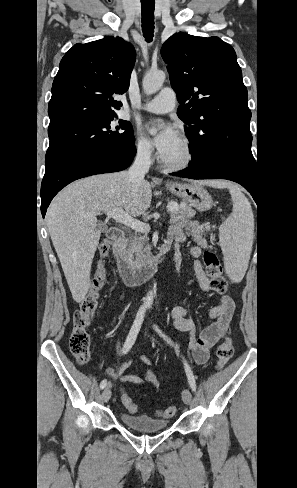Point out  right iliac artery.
Instances as JSON below:
<instances>
[{"mask_svg":"<svg viewBox=\"0 0 297 488\" xmlns=\"http://www.w3.org/2000/svg\"><path fill=\"white\" fill-rule=\"evenodd\" d=\"M145 311H146V308L145 307H140V309L138 310V313L136 315V318L133 322V325L129 331V334L126 338V341L123 345V348H122V354H126L133 346L136 338H137V335L139 333V330L141 328V325L143 323V320H144V317H145ZM107 385V380H103L101 383H100V388L103 389L105 388Z\"/></svg>","mask_w":297,"mask_h":488,"instance_id":"82829eb1","label":"right iliac artery"}]
</instances>
